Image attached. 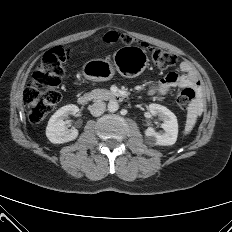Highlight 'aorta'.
<instances>
[{"mask_svg": "<svg viewBox=\"0 0 232 232\" xmlns=\"http://www.w3.org/2000/svg\"><path fill=\"white\" fill-rule=\"evenodd\" d=\"M119 109V104L116 101H110L108 103V111L109 112H116Z\"/></svg>", "mask_w": 232, "mask_h": 232, "instance_id": "obj_1", "label": "aorta"}]
</instances>
